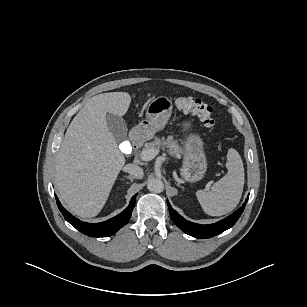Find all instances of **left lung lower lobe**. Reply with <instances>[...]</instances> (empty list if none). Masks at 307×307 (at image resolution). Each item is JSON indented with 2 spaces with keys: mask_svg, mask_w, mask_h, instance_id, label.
I'll return each mask as SVG.
<instances>
[{
  "mask_svg": "<svg viewBox=\"0 0 307 307\" xmlns=\"http://www.w3.org/2000/svg\"><path fill=\"white\" fill-rule=\"evenodd\" d=\"M245 205L246 204L244 203L243 206L236 210L233 214L219 222L210 225H200L184 219L175 210L172 209L171 205L168 202L169 213L173 222L186 234L201 239L216 236L224 232L225 230L231 228L243 213Z\"/></svg>",
  "mask_w": 307,
  "mask_h": 307,
  "instance_id": "1",
  "label": "left lung lower lobe"
}]
</instances>
